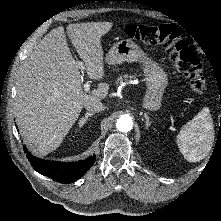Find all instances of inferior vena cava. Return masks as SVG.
<instances>
[{"instance_id": "obj_1", "label": "inferior vena cava", "mask_w": 221, "mask_h": 221, "mask_svg": "<svg viewBox=\"0 0 221 221\" xmlns=\"http://www.w3.org/2000/svg\"><path fill=\"white\" fill-rule=\"evenodd\" d=\"M86 110L91 112H102L105 110V106L98 100H90L85 105Z\"/></svg>"}]
</instances>
